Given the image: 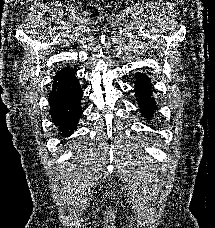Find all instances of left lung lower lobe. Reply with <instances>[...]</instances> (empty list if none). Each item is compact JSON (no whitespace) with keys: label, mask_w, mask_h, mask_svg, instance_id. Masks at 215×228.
<instances>
[{"label":"left lung lower lobe","mask_w":215,"mask_h":228,"mask_svg":"<svg viewBox=\"0 0 215 228\" xmlns=\"http://www.w3.org/2000/svg\"><path fill=\"white\" fill-rule=\"evenodd\" d=\"M152 84L150 79L143 74H138L135 81V93L138 96L137 102L140 107V111L146 117L147 120L153 117L155 110L154 98H152Z\"/></svg>","instance_id":"left-lung-lower-lobe-1"}]
</instances>
